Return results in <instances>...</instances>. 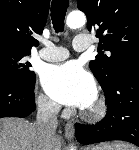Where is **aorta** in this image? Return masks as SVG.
<instances>
[{
  "mask_svg": "<svg viewBox=\"0 0 139 150\" xmlns=\"http://www.w3.org/2000/svg\"><path fill=\"white\" fill-rule=\"evenodd\" d=\"M86 23V16L81 11H73L68 14L66 19V25L70 29H77L82 27ZM71 150H75L74 148H71Z\"/></svg>",
  "mask_w": 139,
  "mask_h": 150,
  "instance_id": "1",
  "label": "aorta"
}]
</instances>
